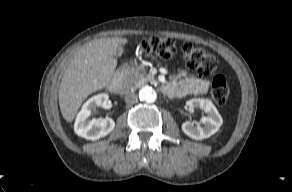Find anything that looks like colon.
<instances>
[{
    "instance_id": "obj_1",
    "label": "colon",
    "mask_w": 292,
    "mask_h": 192,
    "mask_svg": "<svg viewBox=\"0 0 292 192\" xmlns=\"http://www.w3.org/2000/svg\"><path fill=\"white\" fill-rule=\"evenodd\" d=\"M142 49L145 53L168 59L177 53H182L187 66L195 70L200 76L207 77L214 73L218 66L215 55L206 49L196 46L191 42L182 41L164 36H151L142 41ZM211 95L217 104H224L229 97V86L226 79L217 75L212 81Z\"/></svg>"
}]
</instances>
